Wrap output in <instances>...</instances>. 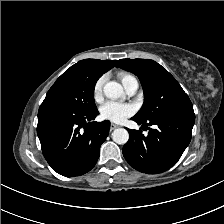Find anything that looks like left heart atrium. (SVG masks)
<instances>
[{"label": "left heart atrium", "instance_id": "obj_1", "mask_svg": "<svg viewBox=\"0 0 224 224\" xmlns=\"http://www.w3.org/2000/svg\"><path fill=\"white\" fill-rule=\"evenodd\" d=\"M100 113L104 119L122 122L134 113V108L130 104L109 101L101 107Z\"/></svg>", "mask_w": 224, "mask_h": 224}]
</instances>
